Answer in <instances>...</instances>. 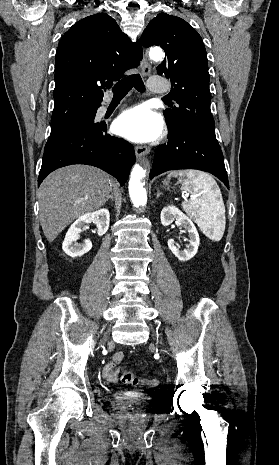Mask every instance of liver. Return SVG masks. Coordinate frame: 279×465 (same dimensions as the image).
<instances>
[{"label":"liver","instance_id":"6515ba94","mask_svg":"<svg viewBox=\"0 0 279 465\" xmlns=\"http://www.w3.org/2000/svg\"><path fill=\"white\" fill-rule=\"evenodd\" d=\"M110 176L93 166L69 165L49 174L39 188V219L49 242L78 217L101 208Z\"/></svg>","mask_w":279,"mask_h":465}]
</instances>
